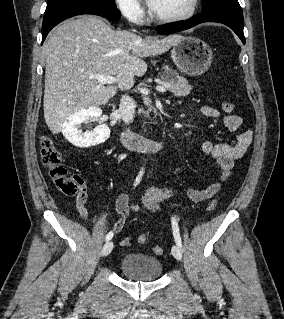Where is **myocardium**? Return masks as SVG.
Here are the masks:
<instances>
[{
    "mask_svg": "<svg viewBox=\"0 0 284 319\" xmlns=\"http://www.w3.org/2000/svg\"><path fill=\"white\" fill-rule=\"evenodd\" d=\"M200 0H192L191 5L189 9L181 14V15H176V16H161L157 14L153 9L151 10V17L153 20L160 22V23H178V22H183L186 20H189L192 18L199 7Z\"/></svg>",
    "mask_w": 284,
    "mask_h": 319,
    "instance_id": "obj_1",
    "label": "myocardium"
}]
</instances>
